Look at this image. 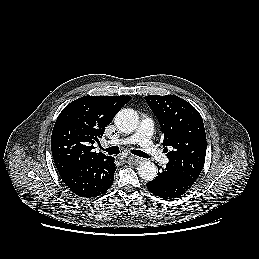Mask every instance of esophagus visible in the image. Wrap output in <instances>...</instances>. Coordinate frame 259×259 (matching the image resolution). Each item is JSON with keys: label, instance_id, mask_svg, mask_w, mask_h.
Instances as JSON below:
<instances>
[{"label": "esophagus", "instance_id": "34e87169", "mask_svg": "<svg viewBox=\"0 0 259 259\" xmlns=\"http://www.w3.org/2000/svg\"><path fill=\"white\" fill-rule=\"evenodd\" d=\"M127 162L129 164L137 165V164H139L141 162V159H139L138 157L129 156L128 159H127Z\"/></svg>", "mask_w": 259, "mask_h": 259}]
</instances>
